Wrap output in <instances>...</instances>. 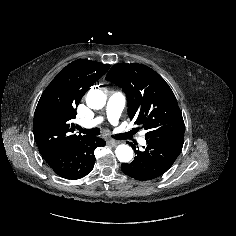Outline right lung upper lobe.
<instances>
[{
    "label": "right lung upper lobe",
    "mask_w": 236,
    "mask_h": 236,
    "mask_svg": "<svg viewBox=\"0 0 236 236\" xmlns=\"http://www.w3.org/2000/svg\"><path fill=\"white\" fill-rule=\"evenodd\" d=\"M110 65L79 59L64 67L42 93L37 104L33 133L41 152L68 148L89 136L75 135L72 119L83 95Z\"/></svg>",
    "instance_id": "1"
}]
</instances>
